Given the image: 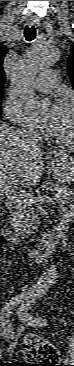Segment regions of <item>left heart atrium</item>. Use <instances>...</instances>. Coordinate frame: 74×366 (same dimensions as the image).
Listing matches in <instances>:
<instances>
[{"instance_id":"obj_1","label":"left heart atrium","mask_w":74,"mask_h":366,"mask_svg":"<svg viewBox=\"0 0 74 366\" xmlns=\"http://www.w3.org/2000/svg\"><path fill=\"white\" fill-rule=\"evenodd\" d=\"M60 111V106L52 105L42 113L35 115L33 122L41 129L50 130Z\"/></svg>"}]
</instances>
